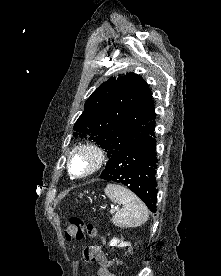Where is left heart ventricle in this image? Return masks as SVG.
I'll list each match as a JSON object with an SVG mask.
<instances>
[{"label":"left heart ventricle","mask_w":221,"mask_h":276,"mask_svg":"<svg viewBox=\"0 0 221 276\" xmlns=\"http://www.w3.org/2000/svg\"><path fill=\"white\" fill-rule=\"evenodd\" d=\"M89 166V160L84 155H77L72 162V167L74 172L76 173H83L87 170Z\"/></svg>","instance_id":"b2bd125f"}]
</instances>
